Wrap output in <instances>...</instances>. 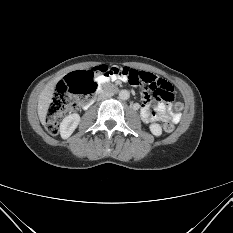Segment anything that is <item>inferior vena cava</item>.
Returning <instances> with one entry per match:
<instances>
[{"label": "inferior vena cava", "mask_w": 233, "mask_h": 233, "mask_svg": "<svg viewBox=\"0 0 233 233\" xmlns=\"http://www.w3.org/2000/svg\"><path fill=\"white\" fill-rule=\"evenodd\" d=\"M112 95H114V90H105V93H103L100 98H104L105 96L110 97Z\"/></svg>", "instance_id": "602c4592"}]
</instances>
